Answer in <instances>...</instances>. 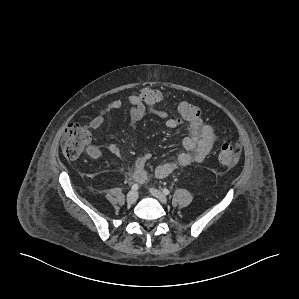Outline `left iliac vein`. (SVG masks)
Returning a JSON list of instances; mask_svg holds the SVG:
<instances>
[{"instance_id":"1","label":"left iliac vein","mask_w":299,"mask_h":299,"mask_svg":"<svg viewBox=\"0 0 299 299\" xmlns=\"http://www.w3.org/2000/svg\"><path fill=\"white\" fill-rule=\"evenodd\" d=\"M150 193L158 199L161 203H167L168 199L161 191L156 188H150Z\"/></svg>"}]
</instances>
